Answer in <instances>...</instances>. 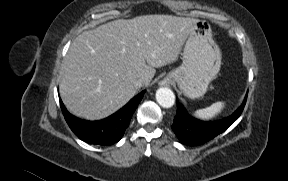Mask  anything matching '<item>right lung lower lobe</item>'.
Returning a JSON list of instances; mask_svg holds the SVG:
<instances>
[{
	"instance_id": "98d812e1",
	"label": "right lung lower lobe",
	"mask_w": 288,
	"mask_h": 181,
	"mask_svg": "<svg viewBox=\"0 0 288 181\" xmlns=\"http://www.w3.org/2000/svg\"><path fill=\"white\" fill-rule=\"evenodd\" d=\"M144 93L145 91H142L122 109L99 121H86L73 116L66 110L61 100L60 106L67 124L79 139L89 144L109 146L123 137Z\"/></svg>"
}]
</instances>
